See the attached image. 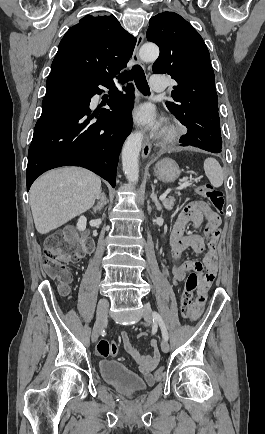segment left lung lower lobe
Here are the masks:
<instances>
[{"label":"left lung lower lobe","mask_w":265,"mask_h":434,"mask_svg":"<svg viewBox=\"0 0 265 434\" xmlns=\"http://www.w3.org/2000/svg\"><path fill=\"white\" fill-rule=\"evenodd\" d=\"M180 143H183L182 146H193L212 153H220L222 151L221 133L188 130V133L182 136Z\"/></svg>","instance_id":"1"}]
</instances>
